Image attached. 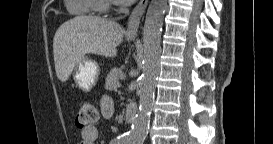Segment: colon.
<instances>
[{
  "mask_svg": "<svg viewBox=\"0 0 273 144\" xmlns=\"http://www.w3.org/2000/svg\"><path fill=\"white\" fill-rule=\"evenodd\" d=\"M98 110L95 104L90 100H84L80 103L76 115V126L80 129L87 128L96 122Z\"/></svg>",
  "mask_w": 273,
  "mask_h": 144,
  "instance_id": "1",
  "label": "colon"
}]
</instances>
